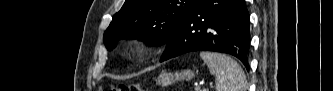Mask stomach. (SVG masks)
<instances>
[{
  "mask_svg": "<svg viewBox=\"0 0 333 91\" xmlns=\"http://www.w3.org/2000/svg\"><path fill=\"white\" fill-rule=\"evenodd\" d=\"M194 75H195L194 72L191 70H184L181 72H176L174 74L163 72L156 79V83L160 86H168L176 81L191 80L194 77Z\"/></svg>",
  "mask_w": 333,
  "mask_h": 91,
  "instance_id": "1",
  "label": "stomach"
}]
</instances>
